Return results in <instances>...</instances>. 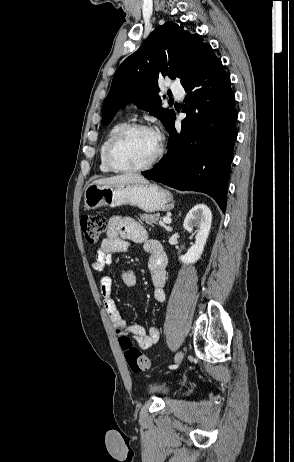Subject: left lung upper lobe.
<instances>
[{
  "mask_svg": "<svg viewBox=\"0 0 294 462\" xmlns=\"http://www.w3.org/2000/svg\"><path fill=\"white\" fill-rule=\"evenodd\" d=\"M213 59L216 56L211 46L198 34L174 22L157 27L116 71L103 105L102 125H107L118 110L134 102L138 108L157 114L168 127L175 113L161 107L159 77L180 78L184 85Z\"/></svg>",
  "mask_w": 294,
  "mask_h": 462,
  "instance_id": "5c2ea615",
  "label": "left lung upper lobe"
}]
</instances>
